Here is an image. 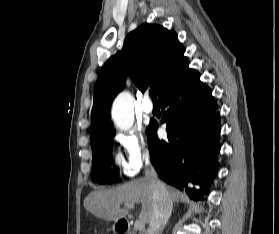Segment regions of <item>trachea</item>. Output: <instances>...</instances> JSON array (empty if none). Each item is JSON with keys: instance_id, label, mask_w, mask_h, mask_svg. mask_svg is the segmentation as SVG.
<instances>
[{"instance_id": "obj_1", "label": "trachea", "mask_w": 279, "mask_h": 234, "mask_svg": "<svg viewBox=\"0 0 279 234\" xmlns=\"http://www.w3.org/2000/svg\"><path fill=\"white\" fill-rule=\"evenodd\" d=\"M149 94H150L153 101H157V96H156V90L155 89H151Z\"/></svg>"}]
</instances>
